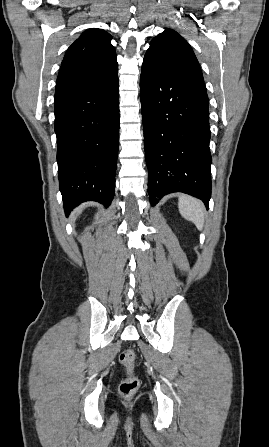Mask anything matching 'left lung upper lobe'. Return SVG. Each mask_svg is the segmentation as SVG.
<instances>
[{
  "label": "left lung upper lobe",
  "mask_w": 269,
  "mask_h": 447,
  "mask_svg": "<svg viewBox=\"0 0 269 447\" xmlns=\"http://www.w3.org/2000/svg\"><path fill=\"white\" fill-rule=\"evenodd\" d=\"M145 56L158 62L189 72L203 80L200 65L186 40L172 29L154 37Z\"/></svg>",
  "instance_id": "1"
}]
</instances>
